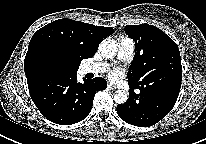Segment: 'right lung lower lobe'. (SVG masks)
Instances as JSON below:
<instances>
[{
  "mask_svg": "<svg viewBox=\"0 0 206 144\" xmlns=\"http://www.w3.org/2000/svg\"><path fill=\"white\" fill-rule=\"evenodd\" d=\"M27 83L39 111L48 120L60 125L84 120L91 111L95 93L107 87V82L101 77L78 83L76 74L42 75Z\"/></svg>",
  "mask_w": 206,
  "mask_h": 144,
  "instance_id": "right-lung-lower-lobe-1",
  "label": "right lung lower lobe"
}]
</instances>
